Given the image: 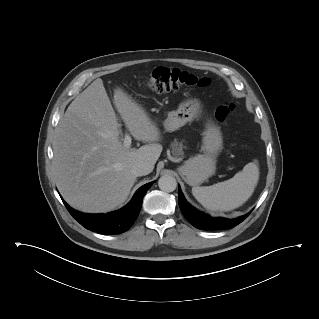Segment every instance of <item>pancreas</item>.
Instances as JSON below:
<instances>
[{
	"mask_svg": "<svg viewBox=\"0 0 319 319\" xmlns=\"http://www.w3.org/2000/svg\"><path fill=\"white\" fill-rule=\"evenodd\" d=\"M183 148H185L182 144V142H178L176 139L174 142L171 143V149H172V154L176 158H183L184 157V151Z\"/></svg>",
	"mask_w": 319,
	"mask_h": 319,
	"instance_id": "cf45deb5",
	"label": "pancreas"
}]
</instances>
